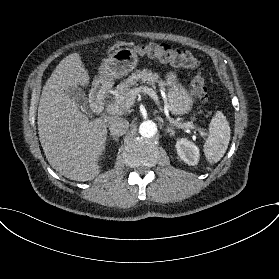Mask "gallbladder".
Here are the masks:
<instances>
[{"instance_id": "obj_1", "label": "gallbladder", "mask_w": 279, "mask_h": 279, "mask_svg": "<svg viewBox=\"0 0 279 279\" xmlns=\"http://www.w3.org/2000/svg\"><path fill=\"white\" fill-rule=\"evenodd\" d=\"M68 95L71 99H75L78 105L85 107L87 105V97L85 91L80 87L69 88Z\"/></svg>"}]
</instances>
